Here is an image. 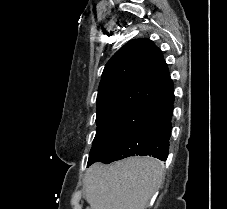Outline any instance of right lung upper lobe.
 I'll return each mask as SVG.
<instances>
[{"mask_svg": "<svg viewBox=\"0 0 227 209\" xmlns=\"http://www.w3.org/2000/svg\"><path fill=\"white\" fill-rule=\"evenodd\" d=\"M161 50L147 38L125 44L107 62L97 95V114L110 100L129 98L152 106L173 91Z\"/></svg>", "mask_w": 227, "mask_h": 209, "instance_id": "cb5924a9", "label": "right lung upper lobe"}]
</instances>
